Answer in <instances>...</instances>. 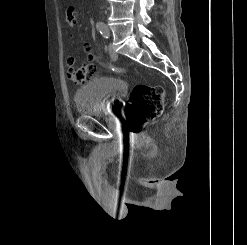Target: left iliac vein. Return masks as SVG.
Listing matches in <instances>:
<instances>
[{
  "label": "left iliac vein",
  "mask_w": 247,
  "mask_h": 245,
  "mask_svg": "<svg viewBox=\"0 0 247 245\" xmlns=\"http://www.w3.org/2000/svg\"><path fill=\"white\" fill-rule=\"evenodd\" d=\"M108 51H109V55H110V57H111L112 59H117V56H118V55H117V53H116L114 47H113L111 44L108 45Z\"/></svg>",
  "instance_id": "left-iliac-vein-1"
}]
</instances>
